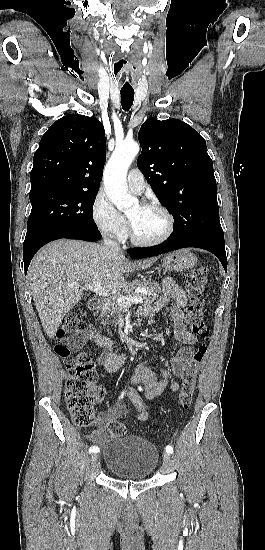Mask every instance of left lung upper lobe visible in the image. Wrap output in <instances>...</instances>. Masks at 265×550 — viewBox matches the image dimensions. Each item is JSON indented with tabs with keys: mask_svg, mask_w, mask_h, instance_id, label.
<instances>
[{
	"mask_svg": "<svg viewBox=\"0 0 265 550\" xmlns=\"http://www.w3.org/2000/svg\"><path fill=\"white\" fill-rule=\"evenodd\" d=\"M138 137V168L174 218L169 239L199 238L225 245L205 139L181 120L153 117L141 126Z\"/></svg>",
	"mask_w": 265,
	"mask_h": 550,
	"instance_id": "5c2ea615",
	"label": "left lung upper lobe"
}]
</instances>
